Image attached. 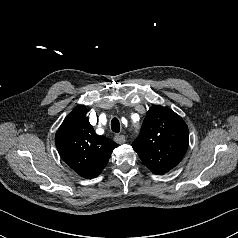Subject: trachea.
<instances>
[{
	"label": "trachea",
	"instance_id": "obj_1",
	"mask_svg": "<svg viewBox=\"0 0 238 238\" xmlns=\"http://www.w3.org/2000/svg\"><path fill=\"white\" fill-rule=\"evenodd\" d=\"M111 129L115 133H119L120 132V123H119V120L117 118H113L112 119V121H111Z\"/></svg>",
	"mask_w": 238,
	"mask_h": 238
}]
</instances>
